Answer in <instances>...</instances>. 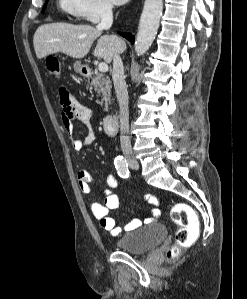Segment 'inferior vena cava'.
<instances>
[{
    "instance_id": "1",
    "label": "inferior vena cava",
    "mask_w": 247,
    "mask_h": 299,
    "mask_svg": "<svg viewBox=\"0 0 247 299\" xmlns=\"http://www.w3.org/2000/svg\"><path fill=\"white\" fill-rule=\"evenodd\" d=\"M101 22L97 25L99 30H108L113 23L112 5L104 3L100 9ZM112 78L117 100L120 107V144L123 153L132 152L129 133V97L124 78L123 62L119 54L113 57Z\"/></svg>"
}]
</instances>
